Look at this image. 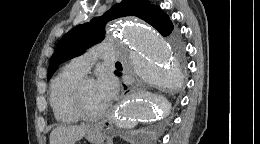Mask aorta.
<instances>
[{
    "instance_id": "1",
    "label": "aorta",
    "mask_w": 260,
    "mask_h": 144,
    "mask_svg": "<svg viewBox=\"0 0 260 144\" xmlns=\"http://www.w3.org/2000/svg\"><path fill=\"white\" fill-rule=\"evenodd\" d=\"M114 33L123 45L121 56L124 63L144 82L168 89L178 86L179 64L176 56L167 40L154 28L144 22L131 20ZM168 104L163 97L138 92L121 103L116 119L125 127L157 121Z\"/></svg>"
}]
</instances>
